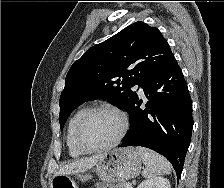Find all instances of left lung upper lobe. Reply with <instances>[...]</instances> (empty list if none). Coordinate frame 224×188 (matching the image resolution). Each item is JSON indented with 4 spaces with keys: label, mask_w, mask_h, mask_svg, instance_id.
<instances>
[{
    "label": "left lung upper lobe",
    "mask_w": 224,
    "mask_h": 188,
    "mask_svg": "<svg viewBox=\"0 0 224 188\" xmlns=\"http://www.w3.org/2000/svg\"><path fill=\"white\" fill-rule=\"evenodd\" d=\"M173 58L161 32L144 22L89 48L67 73L60 97V128L76 107L93 99H108L130 115L138 96L131 87L142 86Z\"/></svg>",
    "instance_id": "1"
}]
</instances>
